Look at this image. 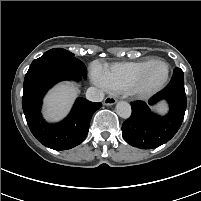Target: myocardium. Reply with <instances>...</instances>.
Masks as SVG:
<instances>
[{"mask_svg": "<svg viewBox=\"0 0 201 201\" xmlns=\"http://www.w3.org/2000/svg\"><path fill=\"white\" fill-rule=\"evenodd\" d=\"M156 64H163L166 68V73L163 80L154 87H146L144 85L145 78L149 72V70ZM170 78V66L169 64L162 60L156 59L150 62L132 81V83L127 88V92L132 96L139 98V99H148L155 94L159 93L162 89L165 88Z\"/></svg>", "mask_w": 201, "mask_h": 201, "instance_id": "1", "label": "myocardium"}]
</instances>
